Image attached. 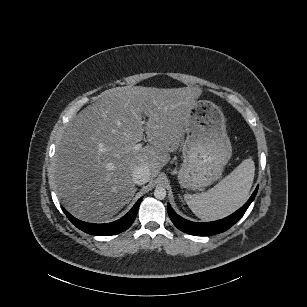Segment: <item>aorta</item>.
I'll list each match as a JSON object with an SVG mask.
<instances>
[{"label":"aorta","mask_w":307,"mask_h":307,"mask_svg":"<svg viewBox=\"0 0 307 307\" xmlns=\"http://www.w3.org/2000/svg\"><path fill=\"white\" fill-rule=\"evenodd\" d=\"M154 196L160 200L164 199L166 197V189L163 187H156L154 190Z\"/></svg>","instance_id":"762f6f07"}]
</instances>
